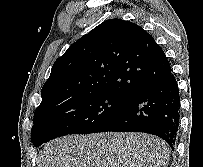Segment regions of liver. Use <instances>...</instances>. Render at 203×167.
Returning <instances> with one entry per match:
<instances>
[{"mask_svg": "<svg viewBox=\"0 0 203 167\" xmlns=\"http://www.w3.org/2000/svg\"><path fill=\"white\" fill-rule=\"evenodd\" d=\"M169 147L142 133L69 135L44 147L38 167H166Z\"/></svg>", "mask_w": 203, "mask_h": 167, "instance_id": "obj_1", "label": "liver"}]
</instances>
